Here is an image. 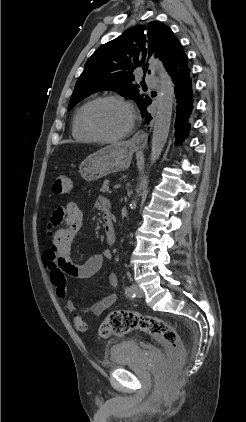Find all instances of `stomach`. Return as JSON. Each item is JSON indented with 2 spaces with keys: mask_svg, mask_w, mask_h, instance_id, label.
I'll list each match as a JSON object with an SVG mask.
<instances>
[{
  "mask_svg": "<svg viewBox=\"0 0 246 422\" xmlns=\"http://www.w3.org/2000/svg\"><path fill=\"white\" fill-rule=\"evenodd\" d=\"M133 150L126 143L107 145L89 155L80 165L81 177L88 181L98 180L108 174L126 170L132 160Z\"/></svg>",
  "mask_w": 246,
  "mask_h": 422,
  "instance_id": "0dacf381",
  "label": "stomach"
}]
</instances>
